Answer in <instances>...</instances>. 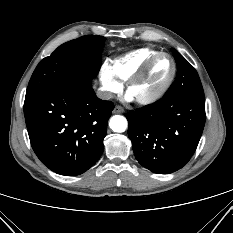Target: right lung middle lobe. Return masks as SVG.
<instances>
[{
  "label": "right lung middle lobe",
  "instance_id": "1",
  "mask_svg": "<svg viewBox=\"0 0 233 233\" xmlns=\"http://www.w3.org/2000/svg\"><path fill=\"white\" fill-rule=\"evenodd\" d=\"M104 41L102 36L87 35L59 46L37 65L25 98L42 94L66 82L93 79L101 66Z\"/></svg>",
  "mask_w": 233,
  "mask_h": 233
}]
</instances>
